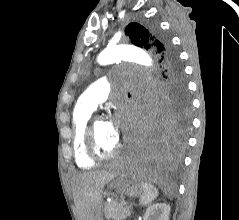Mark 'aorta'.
<instances>
[{
  "mask_svg": "<svg viewBox=\"0 0 239 220\" xmlns=\"http://www.w3.org/2000/svg\"><path fill=\"white\" fill-rule=\"evenodd\" d=\"M148 56L147 48H124V45L116 44L104 49L97 60L101 65L110 64L119 59L121 61H135V65H145L144 71H153L151 69V59Z\"/></svg>",
  "mask_w": 239,
  "mask_h": 220,
  "instance_id": "obj_1",
  "label": "aorta"
}]
</instances>
